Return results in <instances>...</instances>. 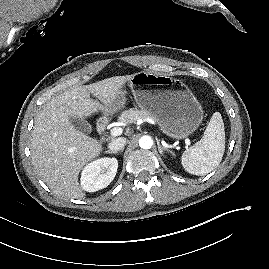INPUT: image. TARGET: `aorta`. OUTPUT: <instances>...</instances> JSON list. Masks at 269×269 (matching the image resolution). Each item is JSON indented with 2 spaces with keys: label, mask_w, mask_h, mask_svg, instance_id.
<instances>
[{
  "label": "aorta",
  "mask_w": 269,
  "mask_h": 269,
  "mask_svg": "<svg viewBox=\"0 0 269 269\" xmlns=\"http://www.w3.org/2000/svg\"><path fill=\"white\" fill-rule=\"evenodd\" d=\"M153 145V140L150 136H142L139 139V146L142 149H150Z\"/></svg>",
  "instance_id": "aorta-1"
}]
</instances>
